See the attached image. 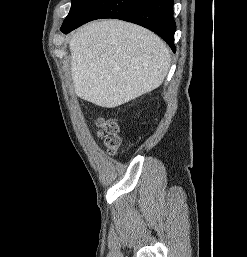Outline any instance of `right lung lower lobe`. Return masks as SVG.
I'll use <instances>...</instances> for the list:
<instances>
[{
	"instance_id": "1",
	"label": "right lung lower lobe",
	"mask_w": 247,
	"mask_h": 257,
	"mask_svg": "<svg viewBox=\"0 0 247 257\" xmlns=\"http://www.w3.org/2000/svg\"><path fill=\"white\" fill-rule=\"evenodd\" d=\"M173 0H93L73 23L62 25L65 34L91 20L116 18L136 23L158 34L175 52Z\"/></svg>"
}]
</instances>
